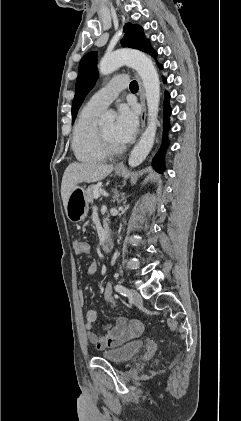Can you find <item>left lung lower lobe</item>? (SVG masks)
I'll return each mask as SVG.
<instances>
[{
	"label": "left lung lower lobe",
	"mask_w": 241,
	"mask_h": 421,
	"mask_svg": "<svg viewBox=\"0 0 241 421\" xmlns=\"http://www.w3.org/2000/svg\"><path fill=\"white\" fill-rule=\"evenodd\" d=\"M144 52L149 53L152 56H156V52L151 48L149 42L146 44V46L144 47V49L142 50ZM159 67L161 68V66L159 65ZM169 98L170 95L168 93L165 94V101H164V126H165V132L166 130L169 128V115L171 114V109L169 106ZM168 145V141L166 138H164V144H163V148L160 150V154L164 153L165 148ZM153 165L154 168L156 169V171L162 173L165 169L164 163H163V159L161 157H155L153 159Z\"/></svg>",
	"instance_id": "0a47b994"
}]
</instances>
